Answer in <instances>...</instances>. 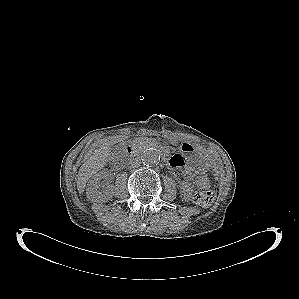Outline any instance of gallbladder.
<instances>
[{
	"label": "gallbladder",
	"instance_id": "obj_1",
	"mask_svg": "<svg viewBox=\"0 0 299 299\" xmlns=\"http://www.w3.org/2000/svg\"><path fill=\"white\" fill-rule=\"evenodd\" d=\"M125 146L122 143L115 144L111 147L110 153L112 156L121 154L124 151Z\"/></svg>",
	"mask_w": 299,
	"mask_h": 299
}]
</instances>
